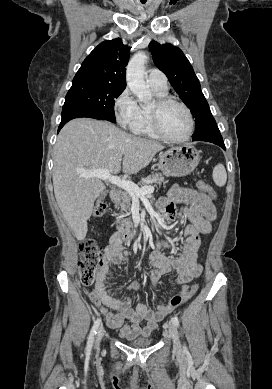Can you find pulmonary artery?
Listing matches in <instances>:
<instances>
[{"label": "pulmonary artery", "instance_id": "pulmonary-artery-1", "mask_svg": "<svg viewBox=\"0 0 272 389\" xmlns=\"http://www.w3.org/2000/svg\"><path fill=\"white\" fill-rule=\"evenodd\" d=\"M147 82L151 89L158 91H167V78L166 76L157 69H150L148 71Z\"/></svg>", "mask_w": 272, "mask_h": 389}]
</instances>
